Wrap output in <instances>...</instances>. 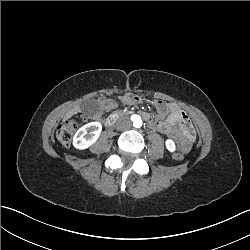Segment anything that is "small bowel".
I'll use <instances>...</instances> for the list:
<instances>
[{"instance_id":"small-bowel-1","label":"small bowel","mask_w":250,"mask_h":250,"mask_svg":"<svg viewBox=\"0 0 250 250\" xmlns=\"http://www.w3.org/2000/svg\"><path fill=\"white\" fill-rule=\"evenodd\" d=\"M120 101L126 105H136L141 102V97L135 94H125L120 97ZM158 118L150 123V127L159 133H163L170 138L179 140L182 151H187L195 138V130L190 123L187 115L174 103H165L163 101H154L153 103ZM117 104L110 98H101L98 100L97 110L109 111L116 108ZM170 115L167 121H162L166 115ZM144 117L148 114L142 112ZM98 116L97 113L93 115L94 118Z\"/></svg>"}]
</instances>
